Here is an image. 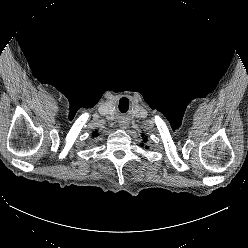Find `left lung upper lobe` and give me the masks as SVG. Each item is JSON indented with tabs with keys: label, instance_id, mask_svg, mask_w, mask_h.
<instances>
[{
	"label": "left lung upper lobe",
	"instance_id": "1",
	"mask_svg": "<svg viewBox=\"0 0 248 248\" xmlns=\"http://www.w3.org/2000/svg\"><path fill=\"white\" fill-rule=\"evenodd\" d=\"M144 141L146 142V141H147V139L145 138V139H144ZM146 148H147V147H146Z\"/></svg>",
	"mask_w": 248,
	"mask_h": 248
}]
</instances>
